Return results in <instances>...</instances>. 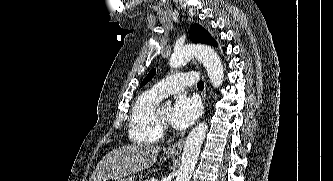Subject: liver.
<instances>
[{
	"label": "liver",
	"mask_w": 333,
	"mask_h": 181,
	"mask_svg": "<svg viewBox=\"0 0 333 181\" xmlns=\"http://www.w3.org/2000/svg\"><path fill=\"white\" fill-rule=\"evenodd\" d=\"M161 148L153 145H130L109 152L97 164L90 181H119L132 173L150 168Z\"/></svg>",
	"instance_id": "obj_1"
}]
</instances>
